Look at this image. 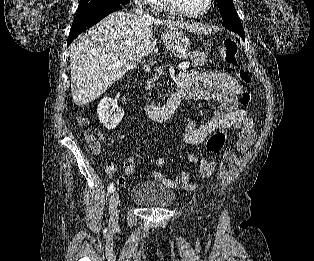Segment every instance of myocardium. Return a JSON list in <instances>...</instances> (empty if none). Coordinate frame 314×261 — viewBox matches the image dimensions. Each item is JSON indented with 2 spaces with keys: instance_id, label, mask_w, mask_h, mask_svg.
Instances as JSON below:
<instances>
[{
  "instance_id": "obj_1",
  "label": "myocardium",
  "mask_w": 314,
  "mask_h": 261,
  "mask_svg": "<svg viewBox=\"0 0 314 261\" xmlns=\"http://www.w3.org/2000/svg\"><path fill=\"white\" fill-rule=\"evenodd\" d=\"M163 2L169 11H171L174 14L180 15L182 17H186V18H201V17L207 15L213 6V0H207V6L203 11L197 12V13H191V12L185 11L184 9L179 7L175 3L174 0H163Z\"/></svg>"
}]
</instances>
